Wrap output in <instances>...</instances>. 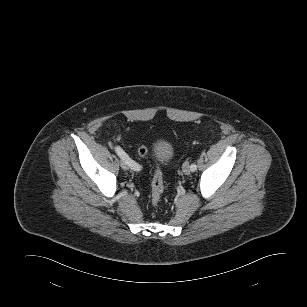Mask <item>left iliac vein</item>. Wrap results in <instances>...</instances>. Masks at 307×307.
Instances as JSON below:
<instances>
[{
    "label": "left iliac vein",
    "mask_w": 307,
    "mask_h": 307,
    "mask_svg": "<svg viewBox=\"0 0 307 307\" xmlns=\"http://www.w3.org/2000/svg\"><path fill=\"white\" fill-rule=\"evenodd\" d=\"M182 170H183V173H184L185 175L190 174L191 168H190V165H189L188 162H185V163L183 164Z\"/></svg>",
    "instance_id": "obj_1"
}]
</instances>
